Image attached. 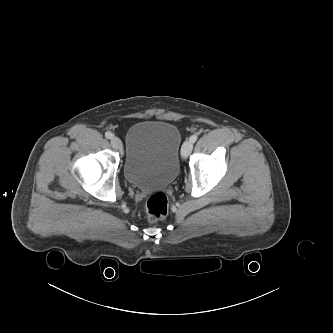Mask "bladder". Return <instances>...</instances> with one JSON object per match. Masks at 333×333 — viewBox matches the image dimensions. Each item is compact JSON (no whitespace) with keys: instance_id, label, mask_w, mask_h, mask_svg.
Returning <instances> with one entry per match:
<instances>
[{"instance_id":"31cf9c89","label":"bladder","mask_w":333,"mask_h":333,"mask_svg":"<svg viewBox=\"0 0 333 333\" xmlns=\"http://www.w3.org/2000/svg\"><path fill=\"white\" fill-rule=\"evenodd\" d=\"M182 136L168 121H141L126 134L123 173L126 180L142 190L160 189L176 179Z\"/></svg>"}]
</instances>
